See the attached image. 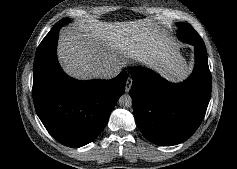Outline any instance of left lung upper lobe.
Returning a JSON list of instances; mask_svg holds the SVG:
<instances>
[{
	"label": "left lung upper lobe",
	"instance_id": "1",
	"mask_svg": "<svg viewBox=\"0 0 237 169\" xmlns=\"http://www.w3.org/2000/svg\"><path fill=\"white\" fill-rule=\"evenodd\" d=\"M177 26L179 27L177 35L181 41L189 44H204L202 38L190 24L177 23Z\"/></svg>",
	"mask_w": 237,
	"mask_h": 169
}]
</instances>
